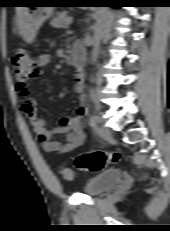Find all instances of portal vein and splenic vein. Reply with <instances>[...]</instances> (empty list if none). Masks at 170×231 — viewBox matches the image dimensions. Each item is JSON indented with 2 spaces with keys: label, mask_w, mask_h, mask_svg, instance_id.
Instances as JSON below:
<instances>
[{
  "label": "portal vein and splenic vein",
  "mask_w": 170,
  "mask_h": 231,
  "mask_svg": "<svg viewBox=\"0 0 170 231\" xmlns=\"http://www.w3.org/2000/svg\"><path fill=\"white\" fill-rule=\"evenodd\" d=\"M71 22H72V19L69 18V19L67 20V22H66V25H70Z\"/></svg>",
  "instance_id": "portal-vein-and-splenic-vein-1"
}]
</instances>
